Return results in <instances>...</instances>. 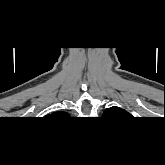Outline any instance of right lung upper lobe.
<instances>
[{
	"instance_id": "cb5924a9",
	"label": "right lung upper lobe",
	"mask_w": 165,
	"mask_h": 165,
	"mask_svg": "<svg viewBox=\"0 0 165 165\" xmlns=\"http://www.w3.org/2000/svg\"><path fill=\"white\" fill-rule=\"evenodd\" d=\"M66 115L65 112H53L52 114H49L47 117L49 118H54V117H59V116H63Z\"/></svg>"
}]
</instances>
